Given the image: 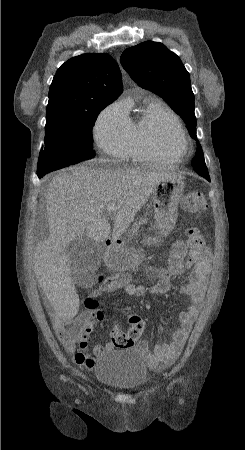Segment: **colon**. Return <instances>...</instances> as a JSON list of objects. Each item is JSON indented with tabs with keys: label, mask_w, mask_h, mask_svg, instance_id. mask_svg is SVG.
<instances>
[{
	"label": "colon",
	"mask_w": 245,
	"mask_h": 450,
	"mask_svg": "<svg viewBox=\"0 0 245 450\" xmlns=\"http://www.w3.org/2000/svg\"><path fill=\"white\" fill-rule=\"evenodd\" d=\"M182 204L183 208L192 214L201 215L207 210V203L202 193L196 190L188 191L183 197ZM185 234L189 248L195 252L201 260H210L212 253L210 248L206 245L201 231L197 227H191L186 230ZM129 279L130 276L127 272H116L108 276L98 274L94 278V282L102 291H110L115 286L124 285ZM91 306L96 311L95 315L92 316L102 320L104 314L101 310L97 309V304L92 302ZM128 322L130 326L128 331L124 332L120 329H114L112 331V339L118 346L133 345L144 330L145 322L140 315H130ZM56 328L65 339L84 344V337L89 330H92V324L88 318L73 319L59 323ZM79 359L80 361H87L88 357L79 356Z\"/></svg>",
	"instance_id": "colon-1"
}]
</instances>
